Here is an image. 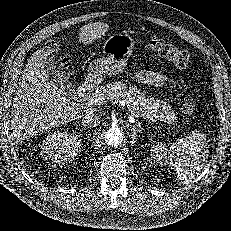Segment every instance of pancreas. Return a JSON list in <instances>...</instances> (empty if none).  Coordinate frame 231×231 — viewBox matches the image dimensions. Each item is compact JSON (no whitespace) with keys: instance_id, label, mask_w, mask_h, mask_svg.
I'll return each mask as SVG.
<instances>
[{"instance_id":"pancreas-1","label":"pancreas","mask_w":231,"mask_h":231,"mask_svg":"<svg viewBox=\"0 0 231 231\" xmlns=\"http://www.w3.org/2000/svg\"><path fill=\"white\" fill-rule=\"evenodd\" d=\"M94 96L104 97V103H117L123 100L131 116L143 114L172 124L176 118L170 104L161 100L146 97L144 92L136 86L127 85L121 81L106 84L94 93Z\"/></svg>"}]
</instances>
